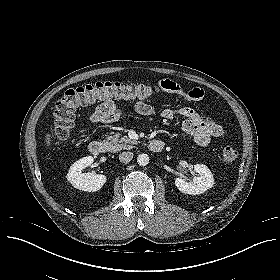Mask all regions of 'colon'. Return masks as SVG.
Segmentation results:
<instances>
[{"instance_id": "5ec220e1", "label": "colon", "mask_w": 280, "mask_h": 280, "mask_svg": "<svg viewBox=\"0 0 280 280\" xmlns=\"http://www.w3.org/2000/svg\"><path fill=\"white\" fill-rule=\"evenodd\" d=\"M154 91L148 84L116 81L98 82L67 90L54 106L53 139L59 142L68 137L74 123L75 109L78 106L105 99H145ZM237 155V150L232 146H226L222 150V160L227 164L234 162Z\"/></svg>"}]
</instances>
